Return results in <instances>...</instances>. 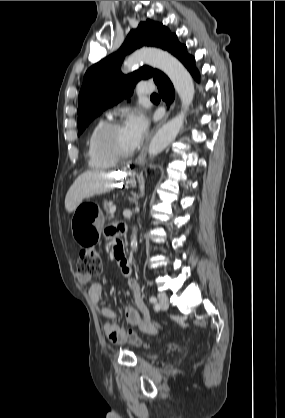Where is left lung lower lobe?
Returning <instances> with one entry per match:
<instances>
[{
    "mask_svg": "<svg viewBox=\"0 0 285 418\" xmlns=\"http://www.w3.org/2000/svg\"><path fill=\"white\" fill-rule=\"evenodd\" d=\"M169 52L184 64V66L189 70L196 81H199V72L195 67V59L193 56L187 53V47L185 45H182L176 41L171 46ZM155 83L157 84L162 99L169 106L175 97V91L171 81L164 73H161L156 79Z\"/></svg>",
    "mask_w": 285,
    "mask_h": 418,
    "instance_id": "1",
    "label": "left lung lower lobe"
}]
</instances>
